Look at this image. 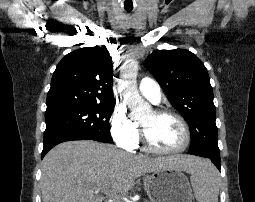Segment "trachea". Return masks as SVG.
Returning <instances> with one entry per match:
<instances>
[{"label": "trachea", "mask_w": 255, "mask_h": 202, "mask_svg": "<svg viewBox=\"0 0 255 202\" xmlns=\"http://www.w3.org/2000/svg\"><path fill=\"white\" fill-rule=\"evenodd\" d=\"M127 12H131L132 11V9H125Z\"/></svg>", "instance_id": "trachea-1"}]
</instances>
